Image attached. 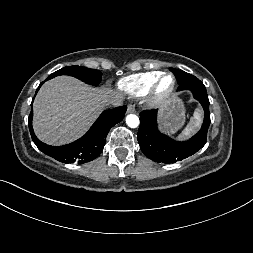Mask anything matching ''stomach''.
<instances>
[{"instance_id": "stomach-1", "label": "stomach", "mask_w": 253, "mask_h": 253, "mask_svg": "<svg viewBox=\"0 0 253 253\" xmlns=\"http://www.w3.org/2000/svg\"><path fill=\"white\" fill-rule=\"evenodd\" d=\"M161 121L170 132H177L185 123V109L179 98L170 99L162 109Z\"/></svg>"}]
</instances>
